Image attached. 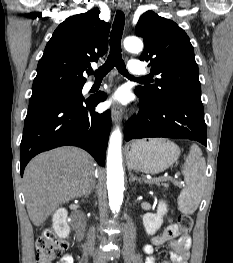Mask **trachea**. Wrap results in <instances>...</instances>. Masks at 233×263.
<instances>
[{"mask_svg": "<svg viewBox=\"0 0 233 263\" xmlns=\"http://www.w3.org/2000/svg\"><path fill=\"white\" fill-rule=\"evenodd\" d=\"M125 24V15L122 11L118 10L115 16V20L112 26V31L110 33V54L106 62L98 68L95 72V77L97 79L103 78L113 67H116L118 71L130 78L135 79L133 76L129 75L126 70L125 63L121 56V39L123 34ZM88 74H93L92 70L88 71ZM138 81H149V77L136 78Z\"/></svg>", "mask_w": 233, "mask_h": 263, "instance_id": "trachea-1", "label": "trachea"}]
</instances>
